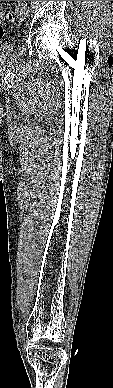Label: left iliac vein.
<instances>
[{"label": "left iliac vein", "instance_id": "obj_1", "mask_svg": "<svg viewBox=\"0 0 113 388\" xmlns=\"http://www.w3.org/2000/svg\"><path fill=\"white\" fill-rule=\"evenodd\" d=\"M18 3H19V5L17 8V15H18L19 19L23 20L29 16V13L27 12L25 7L23 6L22 1H18Z\"/></svg>", "mask_w": 113, "mask_h": 388}]
</instances>
